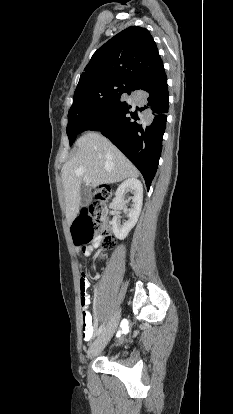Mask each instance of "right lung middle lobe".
Returning <instances> with one entry per match:
<instances>
[{
    "mask_svg": "<svg viewBox=\"0 0 233 414\" xmlns=\"http://www.w3.org/2000/svg\"><path fill=\"white\" fill-rule=\"evenodd\" d=\"M129 84L130 82L123 80H105L74 93L67 125L70 146L81 132L84 124L93 116L117 102Z\"/></svg>",
    "mask_w": 233,
    "mask_h": 414,
    "instance_id": "dd1d6c3e",
    "label": "right lung middle lobe"
}]
</instances>
